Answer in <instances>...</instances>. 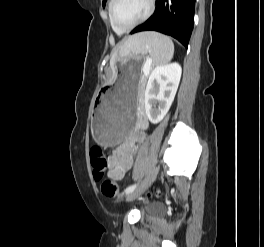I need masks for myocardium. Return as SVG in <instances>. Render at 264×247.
I'll return each instance as SVG.
<instances>
[{
    "instance_id": "obj_1",
    "label": "myocardium",
    "mask_w": 264,
    "mask_h": 247,
    "mask_svg": "<svg viewBox=\"0 0 264 247\" xmlns=\"http://www.w3.org/2000/svg\"><path fill=\"white\" fill-rule=\"evenodd\" d=\"M118 2H119V0H112L109 13H110V21H111L112 25L120 32L130 31V30L136 28L137 26L143 24L145 21H147L151 17V15L153 14V12L155 10V0H148V9L142 18H140L138 21H136L135 23H133L131 25L121 26L118 24L116 17H115V11H116V6H117Z\"/></svg>"
}]
</instances>
